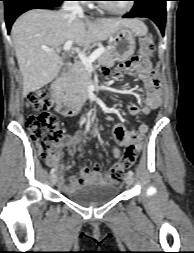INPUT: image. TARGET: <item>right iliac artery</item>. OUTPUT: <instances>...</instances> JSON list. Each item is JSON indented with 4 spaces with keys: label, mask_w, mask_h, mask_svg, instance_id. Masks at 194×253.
Segmentation results:
<instances>
[{
    "label": "right iliac artery",
    "mask_w": 194,
    "mask_h": 253,
    "mask_svg": "<svg viewBox=\"0 0 194 253\" xmlns=\"http://www.w3.org/2000/svg\"><path fill=\"white\" fill-rule=\"evenodd\" d=\"M55 170H56L55 168H52L51 171H50V173L54 174Z\"/></svg>",
    "instance_id": "1"
}]
</instances>
